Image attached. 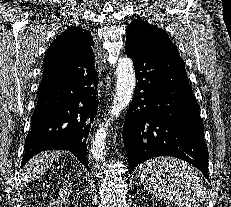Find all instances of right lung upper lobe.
I'll return each mask as SVG.
<instances>
[{
    "mask_svg": "<svg viewBox=\"0 0 231 207\" xmlns=\"http://www.w3.org/2000/svg\"><path fill=\"white\" fill-rule=\"evenodd\" d=\"M93 44L88 31L80 27H70L50 45L44 57V68H59L64 71H72L78 67L86 68L80 64L94 57Z\"/></svg>",
    "mask_w": 231,
    "mask_h": 207,
    "instance_id": "1",
    "label": "right lung upper lobe"
}]
</instances>
